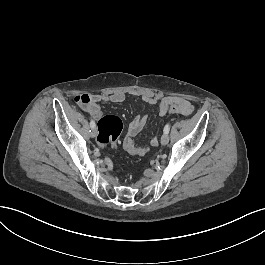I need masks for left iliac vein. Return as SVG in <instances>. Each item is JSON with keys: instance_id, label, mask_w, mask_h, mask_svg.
Wrapping results in <instances>:
<instances>
[{"instance_id": "4c4485c4", "label": "left iliac vein", "mask_w": 265, "mask_h": 265, "mask_svg": "<svg viewBox=\"0 0 265 265\" xmlns=\"http://www.w3.org/2000/svg\"><path fill=\"white\" fill-rule=\"evenodd\" d=\"M169 141V136L168 134L164 133L161 137V144L162 145H166Z\"/></svg>"}]
</instances>
